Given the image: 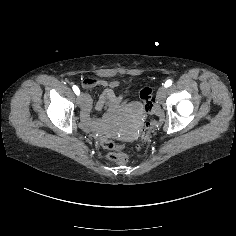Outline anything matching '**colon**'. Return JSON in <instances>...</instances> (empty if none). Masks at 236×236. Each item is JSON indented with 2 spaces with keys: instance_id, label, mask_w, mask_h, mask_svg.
<instances>
[{
  "instance_id": "colon-1",
  "label": "colon",
  "mask_w": 236,
  "mask_h": 236,
  "mask_svg": "<svg viewBox=\"0 0 236 236\" xmlns=\"http://www.w3.org/2000/svg\"><path fill=\"white\" fill-rule=\"evenodd\" d=\"M90 82L92 81H89L86 79L83 81V84L90 83ZM139 95H140L141 100L143 101L145 111L153 117L155 113V105H154V100H153L152 88L150 87L142 88ZM154 126H155L154 118H152L150 121H148L145 124V127L142 131V145H144L148 141ZM142 145H139L137 149H140ZM102 147L107 151V157L111 161L117 164H124L127 162V156L123 153L117 152V150L122 148V146L117 145L114 141L104 138L102 140Z\"/></svg>"
}]
</instances>
